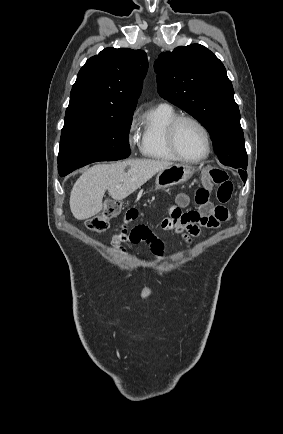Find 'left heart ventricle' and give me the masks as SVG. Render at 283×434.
<instances>
[{
  "instance_id": "1",
  "label": "left heart ventricle",
  "mask_w": 283,
  "mask_h": 434,
  "mask_svg": "<svg viewBox=\"0 0 283 434\" xmlns=\"http://www.w3.org/2000/svg\"><path fill=\"white\" fill-rule=\"evenodd\" d=\"M179 151L186 157L197 158L205 151V140L201 130L192 122H182L176 134Z\"/></svg>"
}]
</instances>
